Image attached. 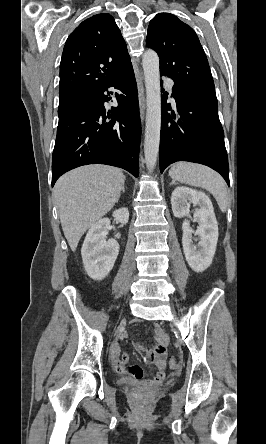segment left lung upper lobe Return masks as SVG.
<instances>
[{"instance_id": "5c2ea615", "label": "left lung upper lobe", "mask_w": 266, "mask_h": 444, "mask_svg": "<svg viewBox=\"0 0 266 444\" xmlns=\"http://www.w3.org/2000/svg\"><path fill=\"white\" fill-rule=\"evenodd\" d=\"M146 45L160 58V72L175 83L214 86L205 52L195 31L176 16L159 13L148 27Z\"/></svg>"}]
</instances>
